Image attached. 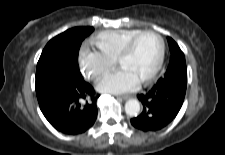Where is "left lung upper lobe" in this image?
<instances>
[{
    "label": "left lung upper lobe",
    "mask_w": 225,
    "mask_h": 155,
    "mask_svg": "<svg viewBox=\"0 0 225 155\" xmlns=\"http://www.w3.org/2000/svg\"><path fill=\"white\" fill-rule=\"evenodd\" d=\"M168 43L171 52L170 64L164 77L159 80L175 79L187 85V67L184 54L172 38L168 37Z\"/></svg>",
    "instance_id": "1"
}]
</instances>
